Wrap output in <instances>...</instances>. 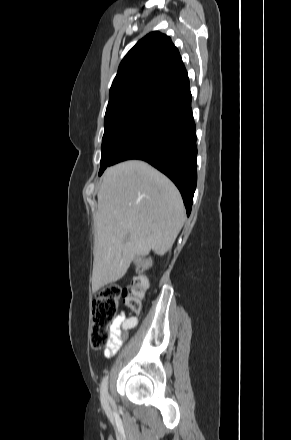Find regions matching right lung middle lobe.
Instances as JSON below:
<instances>
[{
	"mask_svg": "<svg viewBox=\"0 0 291 440\" xmlns=\"http://www.w3.org/2000/svg\"><path fill=\"white\" fill-rule=\"evenodd\" d=\"M155 98L135 97L108 104L104 120L99 175L110 165V161L138 125Z\"/></svg>",
	"mask_w": 291,
	"mask_h": 440,
	"instance_id": "1",
	"label": "right lung middle lobe"
}]
</instances>
